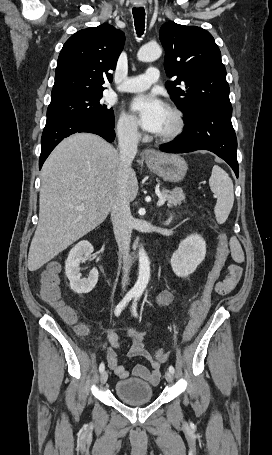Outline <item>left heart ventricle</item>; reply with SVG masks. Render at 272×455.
Listing matches in <instances>:
<instances>
[{"instance_id": "b2bd125f", "label": "left heart ventricle", "mask_w": 272, "mask_h": 455, "mask_svg": "<svg viewBox=\"0 0 272 455\" xmlns=\"http://www.w3.org/2000/svg\"><path fill=\"white\" fill-rule=\"evenodd\" d=\"M171 125H172V117H171L170 113L167 111L164 124L162 126L161 131L158 134H162V133L168 131L170 129Z\"/></svg>"}]
</instances>
